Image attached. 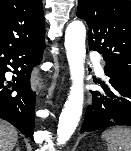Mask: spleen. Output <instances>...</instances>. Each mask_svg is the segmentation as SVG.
<instances>
[{"instance_id":"1","label":"spleen","mask_w":131,"mask_h":151,"mask_svg":"<svg viewBox=\"0 0 131 151\" xmlns=\"http://www.w3.org/2000/svg\"><path fill=\"white\" fill-rule=\"evenodd\" d=\"M102 139L106 141L108 151H131V129L129 128H109L102 133Z\"/></svg>"}]
</instances>
